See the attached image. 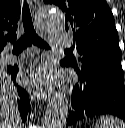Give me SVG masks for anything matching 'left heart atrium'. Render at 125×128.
Wrapping results in <instances>:
<instances>
[{"label":"left heart atrium","instance_id":"1","mask_svg":"<svg viewBox=\"0 0 125 128\" xmlns=\"http://www.w3.org/2000/svg\"><path fill=\"white\" fill-rule=\"evenodd\" d=\"M58 81L54 69L49 65H42L28 78V83L37 91L44 92L51 89Z\"/></svg>","mask_w":125,"mask_h":128}]
</instances>
